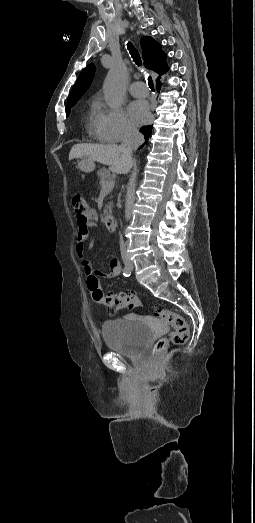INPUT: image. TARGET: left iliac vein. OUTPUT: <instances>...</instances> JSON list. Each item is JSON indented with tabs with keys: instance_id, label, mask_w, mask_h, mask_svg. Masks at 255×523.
<instances>
[{
	"instance_id": "1",
	"label": "left iliac vein",
	"mask_w": 255,
	"mask_h": 523,
	"mask_svg": "<svg viewBox=\"0 0 255 523\" xmlns=\"http://www.w3.org/2000/svg\"><path fill=\"white\" fill-rule=\"evenodd\" d=\"M128 267H129L130 270H133V264H132V262H129V263H128Z\"/></svg>"
}]
</instances>
